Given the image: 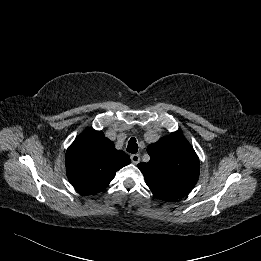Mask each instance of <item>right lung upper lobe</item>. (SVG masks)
<instances>
[{"mask_svg": "<svg viewBox=\"0 0 261 261\" xmlns=\"http://www.w3.org/2000/svg\"><path fill=\"white\" fill-rule=\"evenodd\" d=\"M130 162L124 151L116 150L111 140L92 128L81 133L66 152L70 183L88 195L103 191L115 173Z\"/></svg>", "mask_w": 261, "mask_h": 261, "instance_id": "obj_1", "label": "right lung upper lobe"}]
</instances>
